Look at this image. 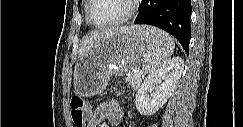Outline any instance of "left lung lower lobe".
Listing matches in <instances>:
<instances>
[{
	"instance_id": "left-lung-lower-lobe-1",
	"label": "left lung lower lobe",
	"mask_w": 243,
	"mask_h": 127,
	"mask_svg": "<svg viewBox=\"0 0 243 127\" xmlns=\"http://www.w3.org/2000/svg\"><path fill=\"white\" fill-rule=\"evenodd\" d=\"M191 12V0H142L135 24H148L169 32L188 53Z\"/></svg>"
}]
</instances>
